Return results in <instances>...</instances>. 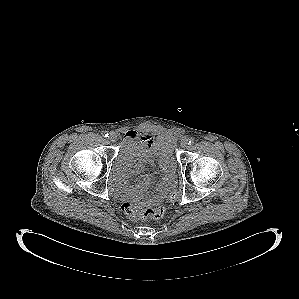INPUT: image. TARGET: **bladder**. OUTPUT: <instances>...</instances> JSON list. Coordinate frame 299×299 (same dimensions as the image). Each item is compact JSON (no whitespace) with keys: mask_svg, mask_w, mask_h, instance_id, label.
Segmentation results:
<instances>
[{"mask_svg":"<svg viewBox=\"0 0 299 299\" xmlns=\"http://www.w3.org/2000/svg\"><path fill=\"white\" fill-rule=\"evenodd\" d=\"M140 147L141 145L136 140L127 139L124 142L118 156L115 158L113 163V174L116 178L121 176V164L125 156L129 152L139 150ZM152 153L157 159L165 157L170 161H173V146L169 138L164 135L157 136L152 144Z\"/></svg>","mask_w":299,"mask_h":299,"instance_id":"obj_1","label":"bladder"}]
</instances>
